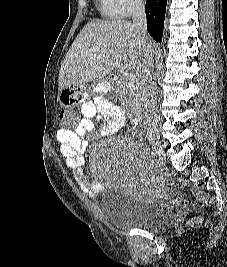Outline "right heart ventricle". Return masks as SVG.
<instances>
[{"mask_svg": "<svg viewBox=\"0 0 227 267\" xmlns=\"http://www.w3.org/2000/svg\"><path fill=\"white\" fill-rule=\"evenodd\" d=\"M99 10L107 18H117L120 12L111 0H99Z\"/></svg>", "mask_w": 227, "mask_h": 267, "instance_id": "e07e8e85", "label": "right heart ventricle"}]
</instances>
